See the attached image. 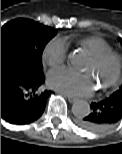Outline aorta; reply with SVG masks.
Returning a JSON list of instances; mask_svg holds the SVG:
<instances>
[{
  "instance_id": "1",
  "label": "aorta",
  "mask_w": 122,
  "mask_h": 154,
  "mask_svg": "<svg viewBox=\"0 0 122 154\" xmlns=\"http://www.w3.org/2000/svg\"><path fill=\"white\" fill-rule=\"evenodd\" d=\"M80 56L78 53L73 52L68 55V63L72 66L77 65ZM72 112L76 117H85L90 113V105L84 100L74 102Z\"/></svg>"
}]
</instances>
